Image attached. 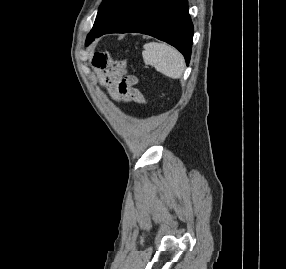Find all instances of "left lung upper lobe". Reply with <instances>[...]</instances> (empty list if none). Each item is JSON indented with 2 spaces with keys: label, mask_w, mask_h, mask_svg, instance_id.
<instances>
[{
  "label": "left lung upper lobe",
  "mask_w": 286,
  "mask_h": 269,
  "mask_svg": "<svg viewBox=\"0 0 286 269\" xmlns=\"http://www.w3.org/2000/svg\"><path fill=\"white\" fill-rule=\"evenodd\" d=\"M142 1L143 0H103L98 9L93 28L87 36L86 45L91 43L98 32L117 23Z\"/></svg>",
  "instance_id": "obj_1"
}]
</instances>
